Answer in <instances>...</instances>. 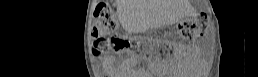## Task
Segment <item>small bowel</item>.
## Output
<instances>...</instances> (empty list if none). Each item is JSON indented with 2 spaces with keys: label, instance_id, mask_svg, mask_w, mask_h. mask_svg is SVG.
Wrapping results in <instances>:
<instances>
[{
  "label": "small bowel",
  "instance_id": "obj_1",
  "mask_svg": "<svg viewBox=\"0 0 258 77\" xmlns=\"http://www.w3.org/2000/svg\"><path fill=\"white\" fill-rule=\"evenodd\" d=\"M135 60L134 59H126L122 62L121 64V68L123 70H130L134 67L135 64ZM130 71H123L122 73H129Z\"/></svg>",
  "mask_w": 258,
  "mask_h": 77
}]
</instances>
